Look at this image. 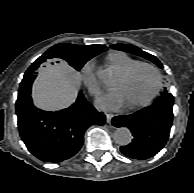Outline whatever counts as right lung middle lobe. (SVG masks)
Instances as JSON below:
<instances>
[{
    "instance_id": "obj_1",
    "label": "right lung middle lobe",
    "mask_w": 194,
    "mask_h": 193,
    "mask_svg": "<svg viewBox=\"0 0 194 193\" xmlns=\"http://www.w3.org/2000/svg\"><path fill=\"white\" fill-rule=\"evenodd\" d=\"M91 57H84L79 54L71 53L68 56H65V60L76 70H80L82 66L90 60ZM32 84L28 85L25 81V75L24 79L22 80L19 88L18 98L26 95H30Z\"/></svg>"
}]
</instances>
